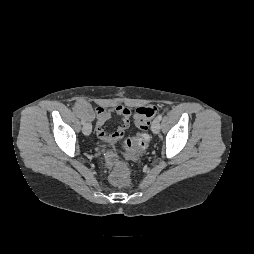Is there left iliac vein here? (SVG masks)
<instances>
[{
    "instance_id": "left-iliac-vein-1",
    "label": "left iliac vein",
    "mask_w": 254,
    "mask_h": 254,
    "mask_svg": "<svg viewBox=\"0 0 254 254\" xmlns=\"http://www.w3.org/2000/svg\"><path fill=\"white\" fill-rule=\"evenodd\" d=\"M151 130L154 134H158L160 131V120L158 118H156L151 126Z\"/></svg>"
}]
</instances>
